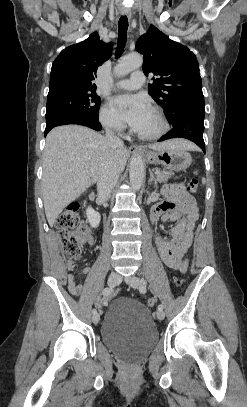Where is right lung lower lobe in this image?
<instances>
[{
  "instance_id": "1",
  "label": "right lung lower lobe",
  "mask_w": 247,
  "mask_h": 407,
  "mask_svg": "<svg viewBox=\"0 0 247 407\" xmlns=\"http://www.w3.org/2000/svg\"><path fill=\"white\" fill-rule=\"evenodd\" d=\"M65 124H79L90 127L96 131H100L102 128L98 119H91L75 114H63L46 120L45 136L53 127Z\"/></svg>"
}]
</instances>
